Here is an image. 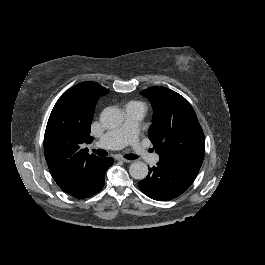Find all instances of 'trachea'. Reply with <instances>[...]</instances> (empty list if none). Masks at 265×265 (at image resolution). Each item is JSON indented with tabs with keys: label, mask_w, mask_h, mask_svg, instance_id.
Returning <instances> with one entry per match:
<instances>
[{
	"label": "trachea",
	"mask_w": 265,
	"mask_h": 265,
	"mask_svg": "<svg viewBox=\"0 0 265 265\" xmlns=\"http://www.w3.org/2000/svg\"><path fill=\"white\" fill-rule=\"evenodd\" d=\"M93 152L95 154H97L98 156H107L108 155V152L105 150H102V149H97V150L93 149ZM123 157L128 159V160H135L137 158V155L136 154H125Z\"/></svg>",
	"instance_id": "trachea-1"
}]
</instances>
